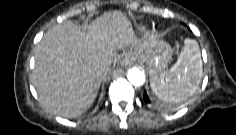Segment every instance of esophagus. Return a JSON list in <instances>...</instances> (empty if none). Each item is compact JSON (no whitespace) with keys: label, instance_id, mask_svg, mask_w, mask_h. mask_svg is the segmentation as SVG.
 <instances>
[{"label":"esophagus","instance_id":"esophagus-1","mask_svg":"<svg viewBox=\"0 0 236 135\" xmlns=\"http://www.w3.org/2000/svg\"><path fill=\"white\" fill-rule=\"evenodd\" d=\"M136 60V56L132 53H129L125 56V58L122 61L123 65H128L133 63Z\"/></svg>","mask_w":236,"mask_h":135}]
</instances>
